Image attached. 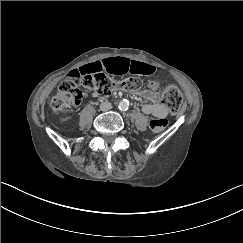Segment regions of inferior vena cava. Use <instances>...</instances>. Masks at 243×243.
I'll return each instance as SVG.
<instances>
[{"label": "inferior vena cava", "mask_w": 243, "mask_h": 243, "mask_svg": "<svg viewBox=\"0 0 243 243\" xmlns=\"http://www.w3.org/2000/svg\"><path fill=\"white\" fill-rule=\"evenodd\" d=\"M101 110L102 111H107L111 108V103L110 102H104L101 104Z\"/></svg>", "instance_id": "obj_1"}]
</instances>
